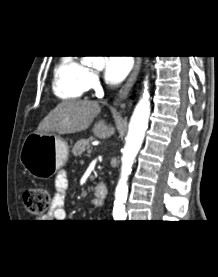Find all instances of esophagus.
<instances>
[{
	"instance_id": "obj_1",
	"label": "esophagus",
	"mask_w": 218,
	"mask_h": 277,
	"mask_svg": "<svg viewBox=\"0 0 218 277\" xmlns=\"http://www.w3.org/2000/svg\"><path fill=\"white\" fill-rule=\"evenodd\" d=\"M140 66H141V57H136L134 68H133L130 76L128 77L126 83L120 89L119 94L114 101L115 106H118L122 101H124L127 98L129 92L131 91V89L137 79V76H138V73L140 70Z\"/></svg>"
}]
</instances>
